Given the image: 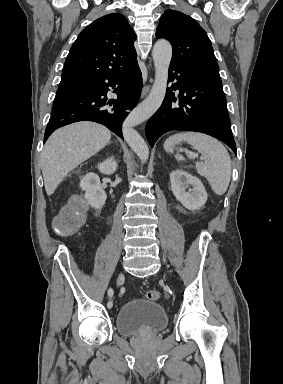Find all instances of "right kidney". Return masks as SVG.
I'll return each instance as SVG.
<instances>
[{
  "label": "right kidney",
  "instance_id": "right-kidney-1",
  "mask_svg": "<svg viewBox=\"0 0 283 384\" xmlns=\"http://www.w3.org/2000/svg\"><path fill=\"white\" fill-rule=\"evenodd\" d=\"M98 170H100L101 174L110 176V174L116 172L117 162H115L113 158H108V160L99 164ZM80 188L84 190L85 200H87L92 208L100 210V208L104 206L107 196L103 188H101L100 178L97 174H92V172L91 174H86V176L80 180Z\"/></svg>",
  "mask_w": 283,
  "mask_h": 384
}]
</instances>
